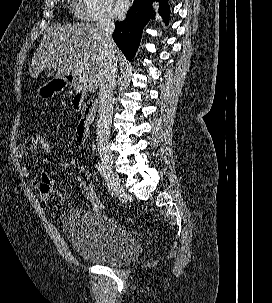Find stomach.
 <instances>
[{"instance_id":"0dacf381","label":"stomach","mask_w":272,"mask_h":303,"mask_svg":"<svg viewBox=\"0 0 272 303\" xmlns=\"http://www.w3.org/2000/svg\"><path fill=\"white\" fill-rule=\"evenodd\" d=\"M67 86V81L63 79L50 80L36 90L37 95L43 98H50L60 93Z\"/></svg>"}]
</instances>
